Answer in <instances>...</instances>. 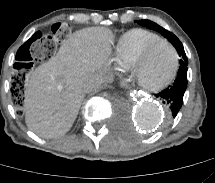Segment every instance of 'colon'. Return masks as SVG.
<instances>
[{"label":"colon","mask_w":215,"mask_h":183,"mask_svg":"<svg viewBox=\"0 0 215 183\" xmlns=\"http://www.w3.org/2000/svg\"><path fill=\"white\" fill-rule=\"evenodd\" d=\"M71 33V25L65 22L55 23L51 34H46L42 29L35 30L30 37L19 42L14 48L11 97L15 101L12 111L17 116H22L27 111L23 101L26 92L23 89L26 74L35 63L51 59L56 50V41H65Z\"/></svg>","instance_id":"5ec220e1"}]
</instances>
